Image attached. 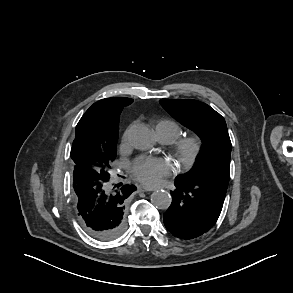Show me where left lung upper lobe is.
Wrapping results in <instances>:
<instances>
[{
    "label": "left lung upper lobe",
    "mask_w": 293,
    "mask_h": 293,
    "mask_svg": "<svg viewBox=\"0 0 293 293\" xmlns=\"http://www.w3.org/2000/svg\"><path fill=\"white\" fill-rule=\"evenodd\" d=\"M160 103L172 117L193 130L203 143L198 165L177 177L206 185L228 187L232 146L224 118L210 106L197 100L162 99Z\"/></svg>",
    "instance_id": "obj_1"
}]
</instances>
